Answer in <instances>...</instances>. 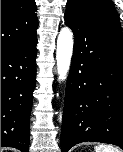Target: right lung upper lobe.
<instances>
[{
  "label": "right lung upper lobe",
  "mask_w": 123,
  "mask_h": 152,
  "mask_svg": "<svg viewBox=\"0 0 123 152\" xmlns=\"http://www.w3.org/2000/svg\"><path fill=\"white\" fill-rule=\"evenodd\" d=\"M37 27L35 0H1V49L32 40Z\"/></svg>",
  "instance_id": "cb5924a9"
}]
</instances>
